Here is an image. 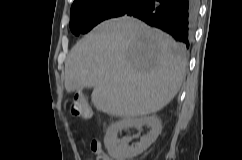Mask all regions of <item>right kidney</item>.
<instances>
[{
  "mask_svg": "<svg viewBox=\"0 0 242 160\" xmlns=\"http://www.w3.org/2000/svg\"><path fill=\"white\" fill-rule=\"evenodd\" d=\"M147 125L151 128L147 135L140 138V142L135 146H129L128 142L132 138L124 140L118 139V133L123 129L141 128ZM162 131V126L159 118L155 115L139 117V118H124L110 125L104 137V145L108 154L115 160L132 159L144 152L159 136ZM135 137H138L135 136Z\"/></svg>",
  "mask_w": 242,
  "mask_h": 160,
  "instance_id": "ca27d5eb",
  "label": "right kidney"
}]
</instances>
